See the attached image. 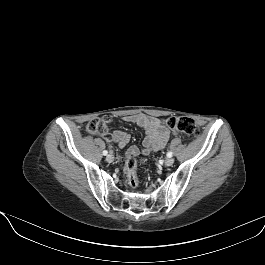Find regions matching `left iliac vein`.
<instances>
[{"label": "left iliac vein", "mask_w": 265, "mask_h": 265, "mask_svg": "<svg viewBox=\"0 0 265 265\" xmlns=\"http://www.w3.org/2000/svg\"><path fill=\"white\" fill-rule=\"evenodd\" d=\"M173 163H174V159H173L172 157H168V158L165 160V165H166V166H171Z\"/></svg>", "instance_id": "left-iliac-vein-1"}]
</instances>
